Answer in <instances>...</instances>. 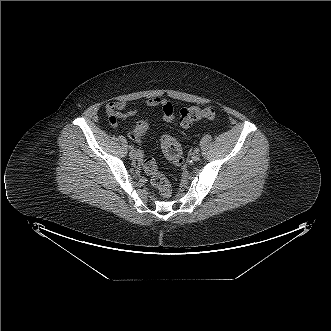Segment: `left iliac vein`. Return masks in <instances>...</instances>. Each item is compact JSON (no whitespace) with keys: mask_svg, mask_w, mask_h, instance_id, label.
I'll list each match as a JSON object with an SVG mask.
<instances>
[{"mask_svg":"<svg viewBox=\"0 0 331 331\" xmlns=\"http://www.w3.org/2000/svg\"><path fill=\"white\" fill-rule=\"evenodd\" d=\"M191 158L193 161H198L200 158V154L198 152H193Z\"/></svg>","mask_w":331,"mask_h":331,"instance_id":"4c4485c4","label":"left iliac vein"}]
</instances>
